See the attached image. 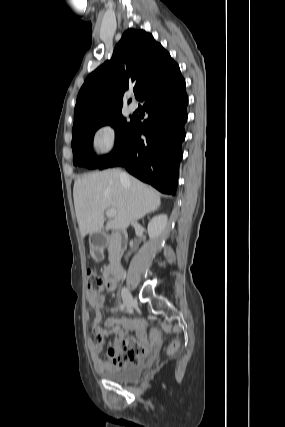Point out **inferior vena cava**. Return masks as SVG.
<instances>
[{
    "label": "inferior vena cava",
    "mask_w": 285,
    "mask_h": 427,
    "mask_svg": "<svg viewBox=\"0 0 285 427\" xmlns=\"http://www.w3.org/2000/svg\"><path fill=\"white\" fill-rule=\"evenodd\" d=\"M120 178H121V180H126L127 179V174L125 172H121L120 173Z\"/></svg>",
    "instance_id": "1"
}]
</instances>
